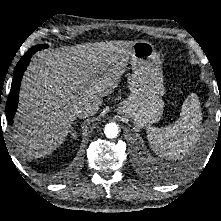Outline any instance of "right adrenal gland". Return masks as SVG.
<instances>
[{
	"label": "right adrenal gland",
	"mask_w": 221,
	"mask_h": 221,
	"mask_svg": "<svg viewBox=\"0 0 221 221\" xmlns=\"http://www.w3.org/2000/svg\"><path fill=\"white\" fill-rule=\"evenodd\" d=\"M72 136L76 137V132L75 131L72 132Z\"/></svg>",
	"instance_id": "obj_1"
}]
</instances>
